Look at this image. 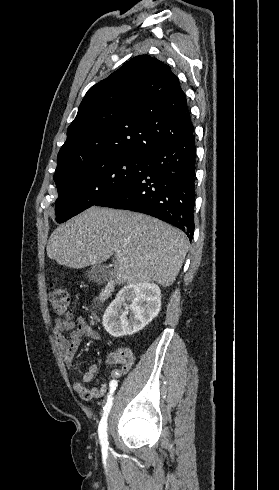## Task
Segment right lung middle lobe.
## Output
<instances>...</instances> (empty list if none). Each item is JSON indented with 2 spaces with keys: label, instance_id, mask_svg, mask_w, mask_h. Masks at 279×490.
Here are the masks:
<instances>
[{
  "label": "right lung middle lobe",
  "instance_id": "dd1d6c3e",
  "mask_svg": "<svg viewBox=\"0 0 279 490\" xmlns=\"http://www.w3.org/2000/svg\"><path fill=\"white\" fill-rule=\"evenodd\" d=\"M144 158L124 155L93 159L54 177L58 189L56 221L63 223L143 174Z\"/></svg>",
  "mask_w": 279,
  "mask_h": 490
}]
</instances>
